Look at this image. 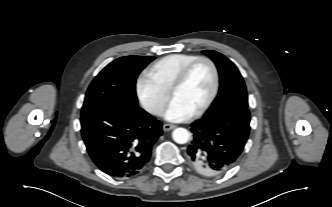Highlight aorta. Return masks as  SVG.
Returning <instances> with one entry per match:
<instances>
[{
    "instance_id": "1",
    "label": "aorta",
    "mask_w": 332,
    "mask_h": 207,
    "mask_svg": "<svg viewBox=\"0 0 332 207\" xmlns=\"http://www.w3.org/2000/svg\"><path fill=\"white\" fill-rule=\"evenodd\" d=\"M173 140L178 144H185L189 141L190 133L185 128H176L172 133Z\"/></svg>"
}]
</instances>
